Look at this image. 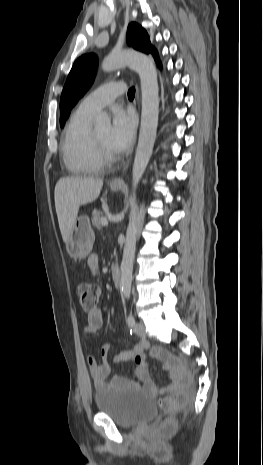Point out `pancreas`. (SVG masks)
I'll return each instance as SVG.
<instances>
[{
	"mask_svg": "<svg viewBox=\"0 0 263 465\" xmlns=\"http://www.w3.org/2000/svg\"><path fill=\"white\" fill-rule=\"evenodd\" d=\"M102 214L100 211H94L92 214V224L95 228L101 229L102 224H101V219H102Z\"/></svg>",
	"mask_w": 263,
	"mask_h": 465,
	"instance_id": "cf45deb5",
	"label": "pancreas"
}]
</instances>
